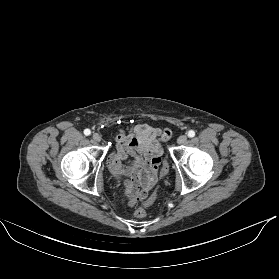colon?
<instances>
[{"mask_svg":"<svg viewBox=\"0 0 279 279\" xmlns=\"http://www.w3.org/2000/svg\"><path fill=\"white\" fill-rule=\"evenodd\" d=\"M168 171V165L167 163H165L163 165L161 174L162 176H164ZM155 195H152L150 198H148L147 200L143 201L142 204L135 210V216L138 218H143L146 216L147 211L146 209L154 202L155 200Z\"/></svg>","mask_w":279,"mask_h":279,"instance_id":"5ec220e1","label":"colon"}]
</instances>
